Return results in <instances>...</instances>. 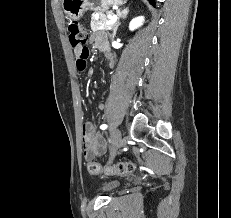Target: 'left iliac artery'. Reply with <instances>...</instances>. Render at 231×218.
<instances>
[{
    "label": "left iliac artery",
    "mask_w": 231,
    "mask_h": 218,
    "mask_svg": "<svg viewBox=\"0 0 231 218\" xmlns=\"http://www.w3.org/2000/svg\"><path fill=\"white\" fill-rule=\"evenodd\" d=\"M107 127H108V126H107L106 124H102V125L100 126V128L103 129V130L106 129Z\"/></svg>",
    "instance_id": "44dca946"
}]
</instances>
